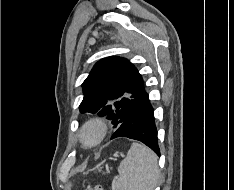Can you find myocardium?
Masks as SVG:
<instances>
[{"instance_id": "1", "label": "myocardium", "mask_w": 234, "mask_h": 190, "mask_svg": "<svg viewBox=\"0 0 234 190\" xmlns=\"http://www.w3.org/2000/svg\"><path fill=\"white\" fill-rule=\"evenodd\" d=\"M107 133L106 123L100 118H92L82 126L79 138L81 143L88 148L99 145Z\"/></svg>"}]
</instances>
